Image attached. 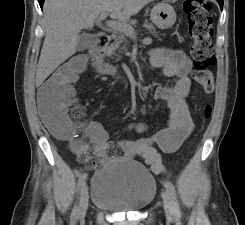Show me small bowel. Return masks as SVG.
<instances>
[{
  "label": "small bowel",
  "instance_id": "small-bowel-1",
  "mask_svg": "<svg viewBox=\"0 0 245 225\" xmlns=\"http://www.w3.org/2000/svg\"><path fill=\"white\" fill-rule=\"evenodd\" d=\"M148 64L155 68H162L168 78H175L173 85H162L155 91V99L166 102L169 108V118L166 125L154 135L120 143L124 157L130 160L142 159L151 168L153 173L159 174L156 162H160L157 151L163 153L176 152L181 144L194 130V124L189 117L187 97L190 93L192 79L191 60L181 49L160 47L151 50L148 54ZM73 90L65 99H55L45 94L42 89L37 93V100L42 107V118L46 125H53L65 113L71 104ZM87 130V140H78L74 152L78 156H86L89 149H93V158L102 163L110 160L108 148L111 145L109 133L103 125L92 120L84 124ZM124 129L137 133L146 132L149 127L144 121H131Z\"/></svg>",
  "mask_w": 245,
  "mask_h": 225
}]
</instances>
